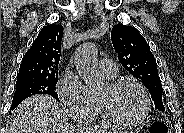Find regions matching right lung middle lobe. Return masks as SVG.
Returning <instances> with one entry per match:
<instances>
[{
    "label": "right lung middle lobe",
    "mask_w": 184,
    "mask_h": 133,
    "mask_svg": "<svg viewBox=\"0 0 184 133\" xmlns=\"http://www.w3.org/2000/svg\"><path fill=\"white\" fill-rule=\"evenodd\" d=\"M57 82L58 76L52 78L32 77L17 79L16 91L10 110H14L24 99L35 94H47L59 100L55 91Z\"/></svg>",
    "instance_id": "dd1d6c3e"
}]
</instances>
